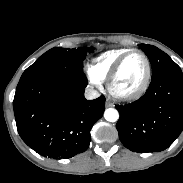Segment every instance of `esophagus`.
I'll use <instances>...</instances> for the list:
<instances>
[{
  "mask_svg": "<svg viewBox=\"0 0 183 183\" xmlns=\"http://www.w3.org/2000/svg\"><path fill=\"white\" fill-rule=\"evenodd\" d=\"M105 105H106V107H110V106H112V103L110 102L109 99H106Z\"/></svg>",
  "mask_w": 183,
  "mask_h": 183,
  "instance_id": "esophagus-1",
  "label": "esophagus"
}]
</instances>
